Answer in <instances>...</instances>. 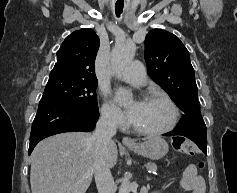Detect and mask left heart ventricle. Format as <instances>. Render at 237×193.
<instances>
[{
    "label": "left heart ventricle",
    "mask_w": 237,
    "mask_h": 193,
    "mask_svg": "<svg viewBox=\"0 0 237 193\" xmlns=\"http://www.w3.org/2000/svg\"><path fill=\"white\" fill-rule=\"evenodd\" d=\"M171 116V109L166 102L159 99L145 100L139 103L132 123L143 129L158 130L169 124Z\"/></svg>",
    "instance_id": "1"
}]
</instances>
